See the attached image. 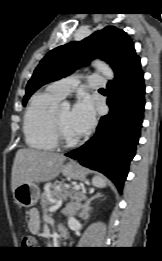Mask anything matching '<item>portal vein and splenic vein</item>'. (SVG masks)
Instances as JSON below:
<instances>
[{
    "label": "portal vein and splenic vein",
    "mask_w": 162,
    "mask_h": 261,
    "mask_svg": "<svg viewBox=\"0 0 162 261\" xmlns=\"http://www.w3.org/2000/svg\"><path fill=\"white\" fill-rule=\"evenodd\" d=\"M73 188L75 190H79L80 189V185H75V186H73ZM62 203H63L62 199L56 201L55 205H53V206H51L49 208V211L50 212L56 211L58 208H60L62 206Z\"/></svg>",
    "instance_id": "1"
}]
</instances>
